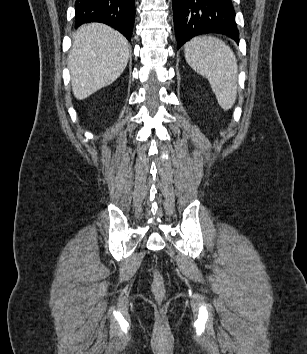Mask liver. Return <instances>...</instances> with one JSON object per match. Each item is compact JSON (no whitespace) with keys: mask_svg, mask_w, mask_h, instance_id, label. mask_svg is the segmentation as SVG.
Returning <instances> with one entry per match:
<instances>
[{"mask_svg":"<svg viewBox=\"0 0 307 354\" xmlns=\"http://www.w3.org/2000/svg\"><path fill=\"white\" fill-rule=\"evenodd\" d=\"M72 40L68 56L72 91L78 100H83L122 74L130 45L122 34L102 23L81 26Z\"/></svg>","mask_w":307,"mask_h":354,"instance_id":"6515ba94","label":"liver"}]
</instances>
